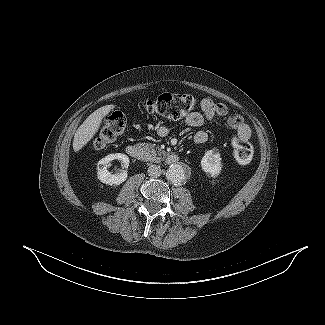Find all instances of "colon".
<instances>
[{"instance_id": "5ec220e1", "label": "colon", "mask_w": 325, "mask_h": 325, "mask_svg": "<svg viewBox=\"0 0 325 325\" xmlns=\"http://www.w3.org/2000/svg\"><path fill=\"white\" fill-rule=\"evenodd\" d=\"M197 104L196 98L184 93H163L149 98L143 102L144 109L153 115L161 116L168 120H179L190 114ZM127 120L120 111L107 115L94 140V145L101 148L107 143L120 138L126 129ZM234 158L240 164H247L253 158V147L250 143L235 137L233 139Z\"/></svg>"}]
</instances>
